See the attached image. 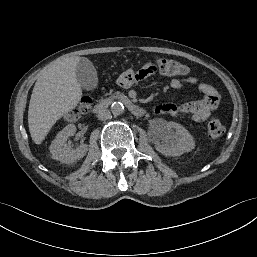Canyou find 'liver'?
Masks as SVG:
<instances>
[{
    "instance_id": "obj_1",
    "label": "liver",
    "mask_w": 257,
    "mask_h": 257,
    "mask_svg": "<svg viewBox=\"0 0 257 257\" xmlns=\"http://www.w3.org/2000/svg\"><path fill=\"white\" fill-rule=\"evenodd\" d=\"M80 59L56 60L38 75L28 109L29 131L35 144H41L56 121L78 105L82 89L76 66Z\"/></svg>"
}]
</instances>
